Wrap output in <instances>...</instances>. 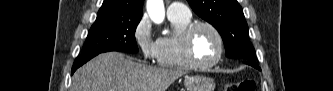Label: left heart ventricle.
I'll return each instance as SVG.
<instances>
[{"mask_svg":"<svg viewBox=\"0 0 333 91\" xmlns=\"http://www.w3.org/2000/svg\"><path fill=\"white\" fill-rule=\"evenodd\" d=\"M219 51V44L214 33L207 28L197 30L193 38V52L200 63H208L214 60Z\"/></svg>","mask_w":333,"mask_h":91,"instance_id":"left-heart-ventricle-1","label":"left heart ventricle"}]
</instances>
